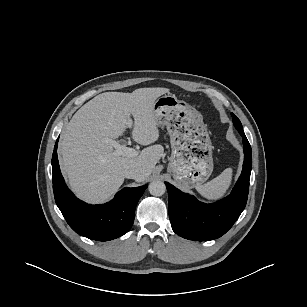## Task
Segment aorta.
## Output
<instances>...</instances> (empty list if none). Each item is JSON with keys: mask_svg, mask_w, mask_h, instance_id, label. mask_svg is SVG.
<instances>
[{"mask_svg": "<svg viewBox=\"0 0 307 307\" xmlns=\"http://www.w3.org/2000/svg\"><path fill=\"white\" fill-rule=\"evenodd\" d=\"M148 190L153 196H162L166 191V186L164 182L155 180L149 184Z\"/></svg>", "mask_w": 307, "mask_h": 307, "instance_id": "obj_1", "label": "aorta"}]
</instances>
